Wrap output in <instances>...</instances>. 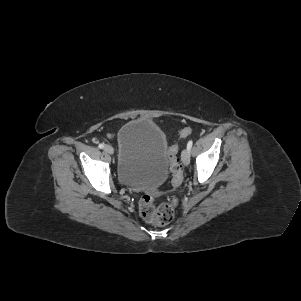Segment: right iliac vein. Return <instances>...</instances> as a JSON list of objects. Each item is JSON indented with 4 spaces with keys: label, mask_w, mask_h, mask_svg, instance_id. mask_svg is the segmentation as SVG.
Returning <instances> with one entry per match:
<instances>
[{
    "label": "right iliac vein",
    "mask_w": 301,
    "mask_h": 301,
    "mask_svg": "<svg viewBox=\"0 0 301 301\" xmlns=\"http://www.w3.org/2000/svg\"><path fill=\"white\" fill-rule=\"evenodd\" d=\"M104 151H105L106 153H108V154H113V153H114L113 147L110 146V145H108V144L104 146Z\"/></svg>",
    "instance_id": "right-iliac-vein-1"
}]
</instances>
